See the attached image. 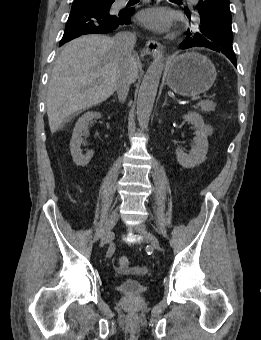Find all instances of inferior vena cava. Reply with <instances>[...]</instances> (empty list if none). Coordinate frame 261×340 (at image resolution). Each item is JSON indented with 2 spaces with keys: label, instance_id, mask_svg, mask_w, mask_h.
<instances>
[{
  "label": "inferior vena cava",
  "instance_id": "602c4592",
  "mask_svg": "<svg viewBox=\"0 0 261 340\" xmlns=\"http://www.w3.org/2000/svg\"><path fill=\"white\" fill-rule=\"evenodd\" d=\"M136 43V35L131 32H121L115 35L113 38V46L122 58H130L132 55L133 48ZM132 83V77L130 72H122L116 84V91L118 98L121 102H124L130 85Z\"/></svg>",
  "mask_w": 261,
  "mask_h": 340
}]
</instances>
